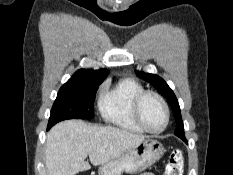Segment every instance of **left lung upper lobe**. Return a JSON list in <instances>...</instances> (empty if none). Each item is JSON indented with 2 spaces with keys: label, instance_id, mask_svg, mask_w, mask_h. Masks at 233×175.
I'll list each match as a JSON object with an SVG mask.
<instances>
[{
  "label": "left lung upper lobe",
  "instance_id": "5c2ea615",
  "mask_svg": "<svg viewBox=\"0 0 233 175\" xmlns=\"http://www.w3.org/2000/svg\"><path fill=\"white\" fill-rule=\"evenodd\" d=\"M136 74L142 78L143 80L154 85L157 90L168 100L169 105L172 107L174 116L176 118L177 128L175 131V135L186 141L184 134V125L181 118L180 107L178 104V100L173 93L172 89L166 84V82L159 76L154 74H149L145 72L136 71Z\"/></svg>",
  "mask_w": 233,
  "mask_h": 175
}]
</instances>
